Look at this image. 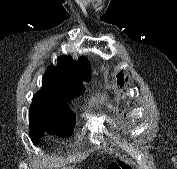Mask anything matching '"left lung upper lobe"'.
I'll return each mask as SVG.
<instances>
[{
  "label": "left lung upper lobe",
  "mask_w": 177,
  "mask_h": 169,
  "mask_svg": "<svg viewBox=\"0 0 177 169\" xmlns=\"http://www.w3.org/2000/svg\"><path fill=\"white\" fill-rule=\"evenodd\" d=\"M120 83H123V75L120 76Z\"/></svg>",
  "instance_id": "left-lung-upper-lobe-1"
}]
</instances>
